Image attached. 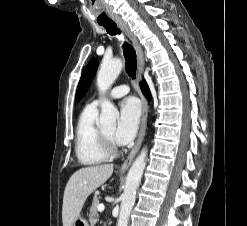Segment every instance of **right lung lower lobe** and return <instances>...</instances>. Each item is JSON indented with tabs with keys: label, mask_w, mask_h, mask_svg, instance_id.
<instances>
[{
	"label": "right lung lower lobe",
	"mask_w": 247,
	"mask_h": 226,
	"mask_svg": "<svg viewBox=\"0 0 247 226\" xmlns=\"http://www.w3.org/2000/svg\"><path fill=\"white\" fill-rule=\"evenodd\" d=\"M140 86H141V90H142V92L145 94V96H146L147 98H150L149 89H148V86H147V84L145 83V81H142V82L140 83Z\"/></svg>",
	"instance_id": "1"
}]
</instances>
